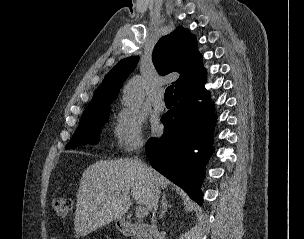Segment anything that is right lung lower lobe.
I'll return each mask as SVG.
<instances>
[{"mask_svg": "<svg viewBox=\"0 0 304 239\" xmlns=\"http://www.w3.org/2000/svg\"><path fill=\"white\" fill-rule=\"evenodd\" d=\"M206 80L204 73L175 92L173 108L161 119L163 135L149 139L145 147L152 167L199 204L200 184L212 150L211 131L216 120L214 106L209 103L210 93L204 87ZM198 99L203 102L198 103ZM197 113L199 117L195 116ZM194 149L200 152L193 153Z\"/></svg>", "mask_w": 304, "mask_h": 239, "instance_id": "1", "label": "right lung lower lobe"}]
</instances>
